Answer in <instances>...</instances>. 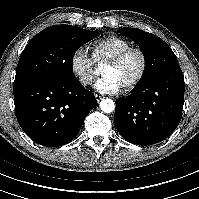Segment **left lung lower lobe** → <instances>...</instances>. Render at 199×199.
I'll use <instances>...</instances> for the list:
<instances>
[{"instance_id": "obj_1", "label": "left lung lower lobe", "mask_w": 199, "mask_h": 199, "mask_svg": "<svg viewBox=\"0 0 199 199\" xmlns=\"http://www.w3.org/2000/svg\"><path fill=\"white\" fill-rule=\"evenodd\" d=\"M184 90L179 65L136 85L130 95L116 100L114 123L120 135L138 145L166 139L181 120Z\"/></svg>"}]
</instances>
